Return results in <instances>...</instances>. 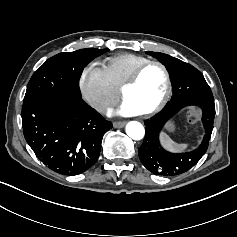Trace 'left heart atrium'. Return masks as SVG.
<instances>
[{"label":"left heart atrium","instance_id":"39dd6f15","mask_svg":"<svg viewBox=\"0 0 237 237\" xmlns=\"http://www.w3.org/2000/svg\"><path fill=\"white\" fill-rule=\"evenodd\" d=\"M140 113L127 101H124L116 110L109 112V116H136Z\"/></svg>","mask_w":237,"mask_h":237}]
</instances>
